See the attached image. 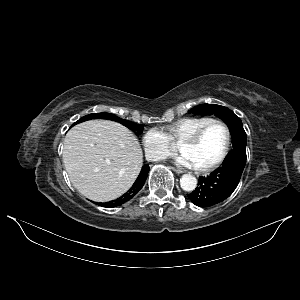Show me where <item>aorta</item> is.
<instances>
[{
  "label": "aorta",
  "instance_id": "1",
  "mask_svg": "<svg viewBox=\"0 0 300 300\" xmlns=\"http://www.w3.org/2000/svg\"><path fill=\"white\" fill-rule=\"evenodd\" d=\"M180 186L184 191H193L197 186V179L191 174H184L180 179Z\"/></svg>",
  "mask_w": 300,
  "mask_h": 300
}]
</instances>
